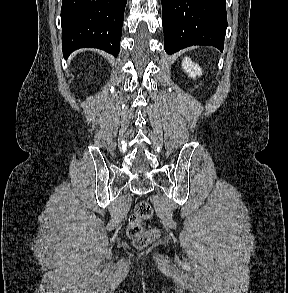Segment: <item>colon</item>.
<instances>
[{
    "mask_svg": "<svg viewBox=\"0 0 288 293\" xmlns=\"http://www.w3.org/2000/svg\"><path fill=\"white\" fill-rule=\"evenodd\" d=\"M153 213L152 205L148 200H142L135 206L129 218L127 233L137 248H143L154 241L159 233L156 229H145L142 223L148 220Z\"/></svg>",
    "mask_w": 288,
    "mask_h": 293,
    "instance_id": "1",
    "label": "colon"
}]
</instances>
